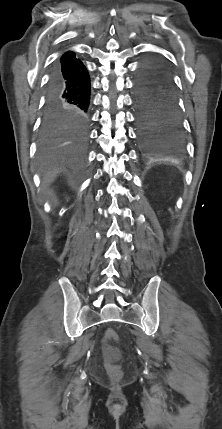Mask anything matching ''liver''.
Instances as JSON below:
<instances>
[{
	"mask_svg": "<svg viewBox=\"0 0 222 429\" xmlns=\"http://www.w3.org/2000/svg\"><path fill=\"white\" fill-rule=\"evenodd\" d=\"M56 174H57V171L55 170V171H53L52 173H50V174H47L46 175V177L44 178V181H43V183L44 184H48L51 180H53V178L56 176Z\"/></svg>",
	"mask_w": 222,
	"mask_h": 429,
	"instance_id": "liver-1",
	"label": "liver"
}]
</instances>
